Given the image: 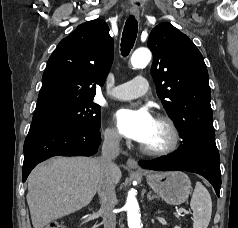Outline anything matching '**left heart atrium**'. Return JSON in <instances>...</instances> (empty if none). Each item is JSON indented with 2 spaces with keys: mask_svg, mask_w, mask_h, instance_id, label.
Segmentation results:
<instances>
[{
  "mask_svg": "<svg viewBox=\"0 0 238 228\" xmlns=\"http://www.w3.org/2000/svg\"><path fill=\"white\" fill-rule=\"evenodd\" d=\"M120 133L141 144L151 134L155 119L145 108H122L115 113Z\"/></svg>",
  "mask_w": 238,
  "mask_h": 228,
  "instance_id": "obj_1",
  "label": "left heart atrium"
}]
</instances>
